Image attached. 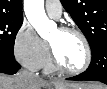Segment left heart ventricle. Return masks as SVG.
Listing matches in <instances>:
<instances>
[{
	"mask_svg": "<svg viewBox=\"0 0 107 89\" xmlns=\"http://www.w3.org/2000/svg\"><path fill=\"white\" fill-rule=\"evenodd\" d=\"M60 62L70 69L81 67L85 60V49L81 39L71 33L56 29L49 37Z\"/></svg>",
	"mask_w": 107,
	"mask_h": 89,
	"instance_id": "obj_1",
	"label": "left heart ventricle"
}]
</instances>
